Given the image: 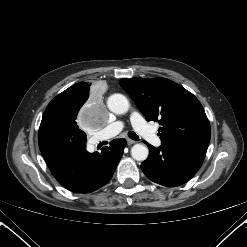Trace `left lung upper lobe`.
<instances>
[{"label": "left lung upper lobe", "instance_id": "obj_1", "mask_svg": "<svg viewBox=\"0 0 247 247\" xmlns=\"http://www.w3.org/2000/svg\"><path fill=\"white\" fill-rule=\"evenodd\" d=\"M147 121L158 122L162 144L180 140H210V125L198 99L181 85L166 78L121 79Z\"/></svg>", "mask_w": 247, "mask_h": 247}]
</instances>
